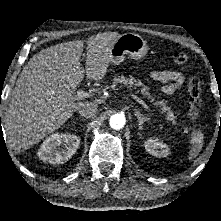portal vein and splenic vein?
<instances>
[{
	"label": "portal vein and splenic vein",
	"instance_id": "18ae733b",
	"mask_svg": "<svg viewBox=\"0 0 221 221\" xmlns=\"http://www.w3.org/2000/svg\"><path fill=\"white\" fill-rule=\"evenodd\" d=\"M77 94L72 97L73 100H82L85 98H89L92 96V94L85 92L83 89H78ZM124 93L134 99L136 102H138L142 107H144L147 111L151 112L152 114H155L154 111L143 101L142 98L137 96L136 94L129 92V91H124Z\"/></svg>",
	"mask_w": 221,
	"mask_h": 221
}]
</instances>
